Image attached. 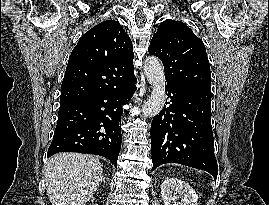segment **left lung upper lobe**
Wrapping results in <instances>:
<instances>
[{
  "label": "left lung upper lobe",
  "mask_w": 269,
  "mask_h": 205,
  "mask_svg": "<svg viewBox=\"0 0 269 205\" xmlns=\"http://www.w3.org/2000/svg\"><path fill=\"white\" fill-rule=\"evenodd\" d=\"M148 51L162 60L168 85L211 90L210 65L204 43L184 23L172 19L163 21Z\"/></svg>",
  "instance_id": "5c2ea615"
}]
</instances>
